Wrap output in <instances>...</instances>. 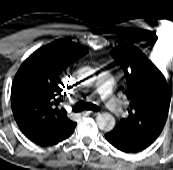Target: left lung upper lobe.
Segmentation results:
<instances>
[{
  "label": "left lung upper lobe",
  "mask_w": 173,
  "mask_h": 170,
  "mask_svg": "<svg viewBox=\"0 0 173 170\" xmlns=\"http://www.w3.org/2000/svg\"><path fill=\"white\" fill-rule=\"evenodd\" d=\"M111 55L125 71L128 83V117L111 131L131 143L147 148L162 132L171 93L161 71L132 44L115 47Z\"/></svg>",
  "instance_id": "left-lung-upper-lobe-1"
}]
</instances>
